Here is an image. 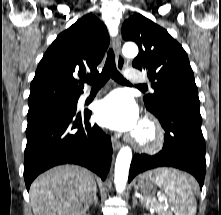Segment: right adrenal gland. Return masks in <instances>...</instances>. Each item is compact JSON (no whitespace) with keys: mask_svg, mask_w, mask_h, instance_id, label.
<instances>
[{"mask_svg":"<svg viewBox=\"0 0 221 215\" xmlns=\"http://www.w3.org/2000/svg\"><path fill=\"white\" fill-rule=\"evenodd\" d=\"M92 204H95V205L98 204L97 190H96L95 193H94V198H93V200H92V202H91V205H92Z\"/></svg>","mask_w":221,"mask_h":215,"instance_id":"1","label":"right adrenal gland"}]
</instances>
